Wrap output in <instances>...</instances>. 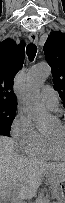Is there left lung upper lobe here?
Here are the masks:
<instances>
[{"label": "left lung upper lobe", "mask_w": 65, "mask_h": 203, "mask_svg": "<svg viewBox=\"0 0 65 203\" xmlns=\"http://www.w3.org/2000/svg\"><path fill=\"white\" fill-rule=\"evenodd\" d=\"M44 54L52 68L54 88L65 102V34L51 33L44 45Z\"/></svg>", "instance_id": "left-lung-upper-lobe-1"}]
</instances>
